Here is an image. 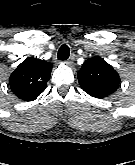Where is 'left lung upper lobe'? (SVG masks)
Instances as JSON below:
<instances>
[{"label":"left lung upper lobe","instance_id":"left-lung-upper-lobe-1","mask_svg":"<svg viewBox=\"0 0 135 165\" xmlns=\"http://www.w3.org/2000/svg\"><path fill=\"white\" fill-rule=\"evenodd\" d=\"M77 76L81 88L96 98L111 95L120 84L116 70L101 57L87 59Z\"/></svg>","mask_w":135,"mask_h":165}]
</instances>
